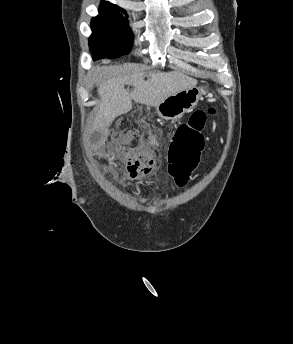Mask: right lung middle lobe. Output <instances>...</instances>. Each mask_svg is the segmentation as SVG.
Returning <instances> with one entry per match:
<instances>
[{"label":"right lung middle lobe","instance_id":"1","mask_svg":"<svg viewBox=\"0 0 293 344\" xmlns=\"http://www.w3.org/2000/svg\"><path fill=\"white\" fill-rule=\"evenodd\" d=\"M124 10L100 8L99 16L91 21L93 31L89 47L94 60L125 55L132 46L133 35Z\"/></svg>","mask_w":293,"mask_h":344}]
</instances>
